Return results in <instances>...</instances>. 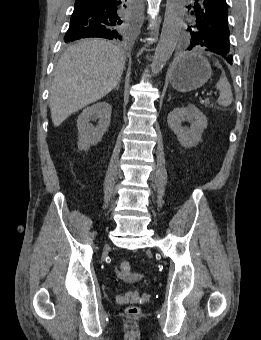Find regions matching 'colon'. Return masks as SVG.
<instances>
[{"instance_id":"5ec220e1","label":"colon","mask_w":261,"mask_h":340,"mask_svg":"<svg viewBox=\"0 0 261 340\" xmlns=\"http://www.w3.org/2000/svg\"><path fill=\"white\" fill-rule=\"evenodd\" d=\"M116 272L121 277H129L132 272L131 263L127 260L121 261L116 268ZM139 312L140 309L136 306H130L127 309V313L132 316L138 315Z\"/></svg>"}]
</instances>
